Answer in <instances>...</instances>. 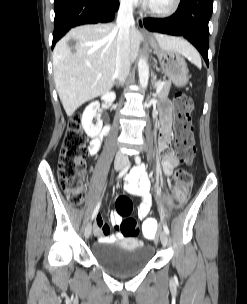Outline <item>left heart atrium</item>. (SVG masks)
I'll return each mask as SVG.
<instances>
[{"instance_id": "obj_1", "label": "left heart atrium", "mask_w": 247, "mask_h": 304, "mask_svg": "<svg viewBox=\"0 0 247 304\" xmlns=\"http://www.w3.org/2000/svg\"><path fill=\"white\" fill-rule=\"evenodd\" d=\"M143 1H145V2H147V3H148L150 0H143Z\"/></svg>"}]
</instances>
